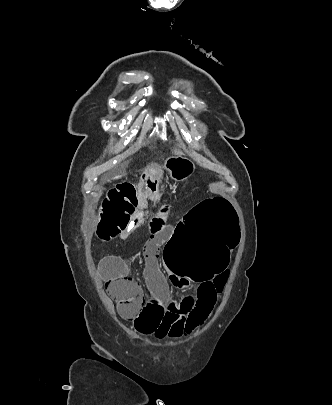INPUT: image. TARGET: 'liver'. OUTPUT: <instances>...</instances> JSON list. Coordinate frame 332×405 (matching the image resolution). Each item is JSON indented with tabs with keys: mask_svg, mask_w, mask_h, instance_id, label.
Masks as SVG:
<instances>
[{
	"mask_svg": "<svg viewBox=\"0 0 332 405\" xmlns=\"http://www.w3.org/2000/svg\"><path fill=\"white\" fill-rule=\"evenodd\" d=\"M173 153H175L176 155H181L182 154V152L180 150H177V149H174Z\"/></svg>",
	"mask_w": 332,
	"mask_h": 405,
	"instance_id": "6515ba94",
	"label": "liver"
}]
</instances>
